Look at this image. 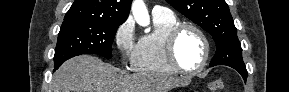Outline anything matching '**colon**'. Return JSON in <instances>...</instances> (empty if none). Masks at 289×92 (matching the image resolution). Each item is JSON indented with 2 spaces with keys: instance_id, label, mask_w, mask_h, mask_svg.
<instances>
[{
  "instance_id": "1",
  "label": "colon",
  "mask_w": 289,
  "mask_h": 92,
  "mask_svg": "<svg viewBox=\"0 0 289 92\" xmlns=\"http://www.w3.org/2000/svg\"><path fill=\"white\" fill-rule=\"evenodd\" d=\"M224 82L221 79L212 81L208 85L209 91H222L224 89Z\"/></svg>"
}]
</instances>
